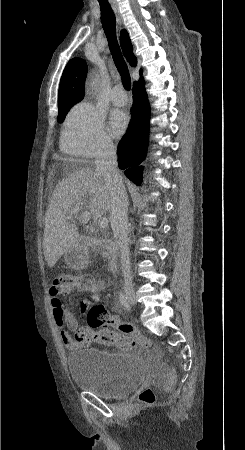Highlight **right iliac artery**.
I'll list each match as a JSON object with an SVG mask.
<instances>
[{
	"label": "right iliac artery",
	"instance_id": "right-iliac-artery-1",
	"mask_svg": "<svg viewBox=\"0 0 245 450\" xmlns=\"http://www.w3.org/2000/svg\"><path fill=\"white\" fill-rule=\"evenodd\" d=\"M119 300L122 303V305H124L125 307H128L127 297L124 293H122V292L119 293Z\"/></svg>",
	"mask_w": 245,
	"mask_h": 450
}]
</instances>
